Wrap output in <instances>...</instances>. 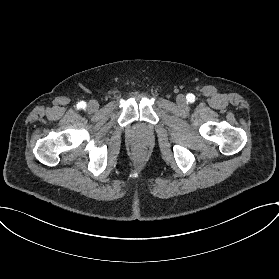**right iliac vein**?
Here are the masks:
<instances>
[{
  "instance_id": "63e3f726",
  "label": "right iliac vein",
  "mask_w": 279,
  "mask_h": 279,
  "mask_svg": "<svg viewBox=\"0 0 279 279\" xmlns=\"http://www.w3.org/2000/svg\"><path fill=\"white\" fill-rule=\"evenodd\" d=\"M99 107V104L97 101L93 100V101H90L87 105V109L91 112H94L98 109Z\"/></svg>"
}]
</instances>
